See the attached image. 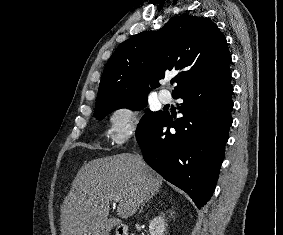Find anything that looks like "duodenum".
<instances>
[{"mask_svg":"<svg viewBox=\"0 0 283 235\" xmlns=\"http://www.w3.org/2000/svg\"><path fill=\"white\" fill-rule=\"evenodd\" d=\"M116 235H128V228L125 225L118 226Z\"/></svg>","mask_w":283,"mask_h":235,"instance_id":"1","label":"duodenum"}]
</instances>
